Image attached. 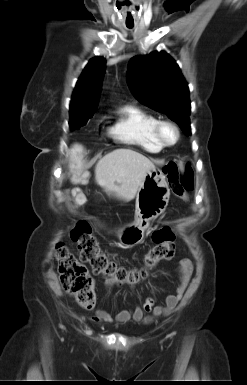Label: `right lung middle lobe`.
I'll return each instance as SVG.
<instances>
[{
	"label": "right lung middle lobe",
	"mask_w": 247,
	"mask_h": 385,
	"mask_svg": "<svg viewBox=\"0 0 247 385\" xmlns=\"http://www.w3.org/2000/svg\"><path fill=\"white\" fill-rule=\"evenodd\" d=\"M95 110H81L70 112V127L72 129H79L84 126L87 121L93 116Z\"/></svg>",
	"instance_id": "dd1d6c3e"
}]
</instances>
